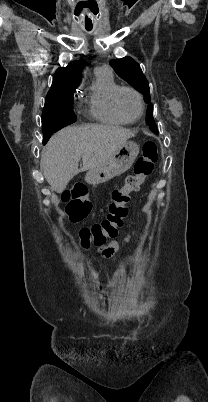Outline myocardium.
Returning a JSON list of instances; mask_svg holds the SVG:
<instances>
[{
    "label": "myocardium",
    "mask_w": 208,
    "mask_h": 402,
    "mask_svg": "<svg viewBox=\"0 0 208 402\" xmlns=\"http://www.w3.org/2000/svg\"><path fill=\"white\" fill-rule=\"evenodd\" d=\"M125 91L133 93L139 100L140 112H139L138 116L135 118H130V117L125 116L119 109L118 97H119L120 93L125 92ZM111 106H112V109H113V112L115 113V115L119 119H121L122 121H125L127 123H134V122H137L139 119H141V117L144 114V109H145L143 96L137 90H135L134 88L128 87V86H121L116 89V91L114 92L112 99H111Z\"/></svg>",
    "instance_id": "myocardium-1"
}]
</instances>
